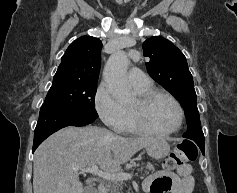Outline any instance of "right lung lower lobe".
<instances>
[{"mask_svg": "<svg viewBox=\"0 0 237 193\" xmlns=\"http://www.w3.org/2000/svg\"><path fill=\"white\" fill-rule=\"evenodd\" d=\"M96 118L76 116L67 112L41 108L34 132L33 152L52 133L66 126H84Z\"/></svg>", "mask_w": 237, "mask_h": 193, "instance_id": "obj_1", "label": "right lung lower lobe"}]
</instances>
